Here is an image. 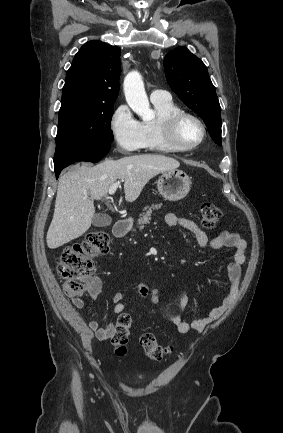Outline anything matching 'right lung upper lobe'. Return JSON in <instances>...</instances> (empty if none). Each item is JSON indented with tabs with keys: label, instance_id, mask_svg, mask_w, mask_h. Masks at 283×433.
<instances>
[{
	"label": "right lung upper lobe",
	"instance_id": "1",
	"mask_svg": "<svg viewBox=\"0 0 283 433\" xmlns=\"http://www.w3.org/2000/svg\"><path fill=\"white\" fill-rule=\"evenodd\" d=\"M120 53L119 47L97 40L84 44L67 72L60 109L114 103L119 93Z\"/></svg>",
	"mask_w": 283,
	"mask_h": 433
}]
</instances>
